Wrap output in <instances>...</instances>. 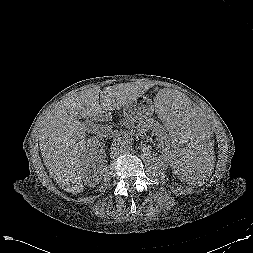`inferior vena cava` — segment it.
Here are the masks:
<instances>
[{
    "instance_id": "inferior-vena-cava-1",
    "label": "inferior vena cava",
    "mask_w": 253,
    "mask_h": 253,
    "mask_svg": "<svg viewBox=\"0 0 253 253\" xmlns=\"http://www.w3.org/2000/svg\"><path fill=\"white\" fill-rule=\"evenodd\" d=\"M119 153H120L119 144L113 145V147L111 148V153H110L111 156H117Z\"/></svg>"
}]
</instances>
